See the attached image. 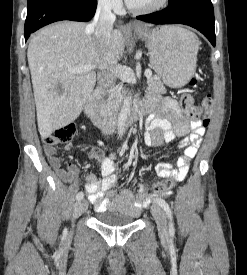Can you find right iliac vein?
<instances>
[{"label":"right iliac vein","mask_w":247,"mask_h":275,"mask_svg":"<svg viewBox=\"0 0 247 275\" xmlns=\"http://www.w3.org/2000/svg\"><path fill=\"white\" fill-rule=\"evenodd\" d=\"M88 207V203L86 200H79L76 205H75V209H74V218L80 216L82 213H84L86 211Z\"/></svg>","instance_id":"obj_1"}]
</instances>
